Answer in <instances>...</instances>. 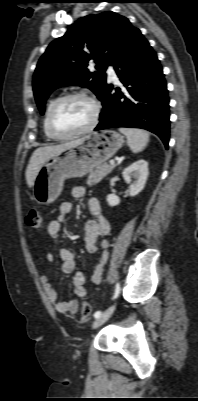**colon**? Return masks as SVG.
Wrapping results in <instances>:
<instances>
[{"label": "colon", "instance_id": "5ec220e1", "mask_svg": "<svg viewBox=\"0 0 198 401\" xmlns=\"http://www.w3.org/2000/svg\"><path fill=\"white\" fill-rule=\"evenodd\" d=\"M27 224L32 228H41L43 226V216L37 210H30L26 218ZM92 311V306L89 302L84 301L82 304L81 319L87 321Z\"/></svg>", "mask_w": 198, "mask_h": 401}]
</instances>
